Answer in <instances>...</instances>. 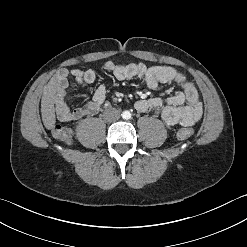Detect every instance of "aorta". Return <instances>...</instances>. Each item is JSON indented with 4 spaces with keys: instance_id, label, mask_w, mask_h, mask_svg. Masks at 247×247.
Here are the masks:
<instances>
[{
    "instance_id": "1",
    "label": "aorta",
    "mask_w": 247,
    "mask_h": 247,
    "mask_svg": "<svg viewBox=\"0 0 247 247\" xmlns=\"http://www.w3.org/2000/svg\"><path fill=\"white\" fill-rule=\"evenodd\" d=\"M122 118L126 119V120L130 119L131 118V113L129 111H127V110L123 111Z\"/></svg>"
}]
</instances>
